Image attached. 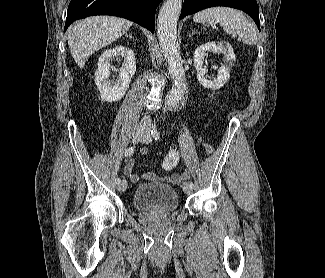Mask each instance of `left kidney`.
<instances>
[{"label": "left kidney", "instance_id": "obj_1", "mask_svg": "<svg viewBox=\"0 0 325 278\" xmlns=\"http://www.w3.org/2000/svg\"><path fill=\"white\" fill-rule=\"evenodd\" d=\"M207 52H214L222 54L224 57V64L219 68L217 77L209 79L207 76V69L203 66L204 58ZM235 63V53L231 45L227 42H207L194 51V65L197 70V79L199 83L205 87L213 90H218L230 78L229 70Z\"/></svg>", "mask_w": 325, "mask_h": 278}]
</instances>
